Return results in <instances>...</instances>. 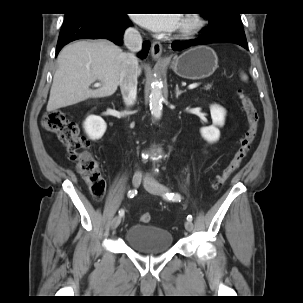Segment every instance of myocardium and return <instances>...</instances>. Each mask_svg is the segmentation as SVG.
Segmentation results:
<instances>
[{"instance_id":"f54148a6","label":"myocardium","mask_w":303,"mask_h":303,"mask_svg":"<svg viewBox=\"0 0 303 303\" xmlns=\"http://www.w3.org/2000/svg\"><path fill=\"white\" fill-rule=\"evenodd\" d=\"M181 20L178 34L182 36L192 35L205 25V20L200 13H184Z\"/></svg>"}]
</instances>
